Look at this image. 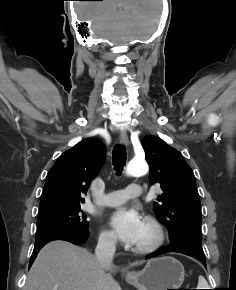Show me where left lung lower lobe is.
Instances as JSON below:
<instances>
[{
  "mask_svg": "<svg viewBox=\"0 0 236 290\" xmlns=\"http://www.w3.org/2000/svg\"><path fill=\"white\" fill-rule=\"evenodd\" d=\"M167 252H177V253H182V254H185V255L194 256L197 259H199L200 261H202L204 266L206 267V259H205L206 257H205V255L199 254L198 252H196L193 249H189V248L182 247V246H180V247H170L169 246L167 249L162 247L159 250H157L156 252H154L151 255H149L147 258H151V257L157 256V255H161V254L167 253Z\"/></svg>",
  "mask_w": 236,
  "mask_h": 290,
  "instance_id": "left-lung-lower-lobe-1",
  "label": "left lung lower lobe"
}]
</instances>
